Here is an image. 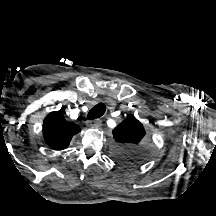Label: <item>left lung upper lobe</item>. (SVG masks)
I'll return each instance as SVG.
<instances>
[{
	"label": "left lung upper lobe",
	"mask_w": 216,
	"mask_h": 216,
	"mask_svg": "<svg viewBox=\"0 0 216 216\" xmlns=\"http://www.w3.org/2000/svg\"><path fill=\"white\" fill-rule=\"evenodd\" d=\"M115 145L113 158L120 164L133 167L146 163L154 153V144L146 135L142 123L134 116L126 117L112 131Z\"/></svg>",
	"instance_id": "1"
}]
</instances>
